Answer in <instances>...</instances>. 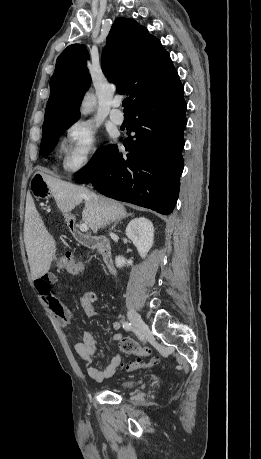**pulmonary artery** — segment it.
Instances as JSON below:
<instances>
[{"instance_id":"1","label":"pulmonary artery","mask_w":261,"mask_h":459,"mask_svg":"<svg viewBox=\"0 0 261 459\" xmlns=\"http://www.w3.org/2000/svg\"><path fill=\"white\" fill-rule=\"evenodd\" d=\"M121 104V101L119 99H114L111 103V111H110V119L115 123V124H122L124 122V115L123 113L119 110V106Z\"/></svg>"}]
</instances>
